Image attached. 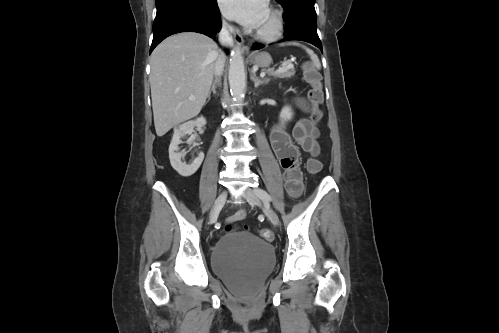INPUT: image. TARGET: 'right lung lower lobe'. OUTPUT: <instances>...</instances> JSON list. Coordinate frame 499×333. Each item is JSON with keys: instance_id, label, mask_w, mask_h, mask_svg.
<instances>
[{"instance_id": "98d812e1", "label": "right lung lower lobe", "mask_w": 499, "mask_h": 333, "mask_svg": "<svg viewBox=\"0 0 499 333\" xmlns=\"http://www.w3.org/2000/svg\"><path fill=\"white\" fill-rule=\"evenodd\" d=\"M221 28L217 1L210 0L203 6L186 2H173L157 9L153 24V41L150 53L166 37L179 32H198L216 40Z\"/></svg>"}]
</instances>
